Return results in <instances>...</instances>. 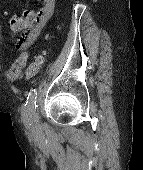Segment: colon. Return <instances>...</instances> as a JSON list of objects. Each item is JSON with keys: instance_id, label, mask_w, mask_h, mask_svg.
I'll return each instance as SVG.
<instances>
[{"instance_id": "5ec220e1", "label": "colon", "mask_w": 143, "mask_h": 170, "mask_svg": "<svg viewBox=\"0 0 143 170\" xmlns=\"http://www.w3.org/2000/svg\"><path fill=\"white\" fill-rule=\"evenodd\" d=\"M34 15H35V12L33 10L27 9L22 14V18L24 22H13V23H10V25L15 26V27H25L32 21V19L34 18ZM43 62H44L43 54L42 53L37 54L27 69V77L28 78L34 77L40 71L43 65Z\"/></svg>"}]
</instances>
